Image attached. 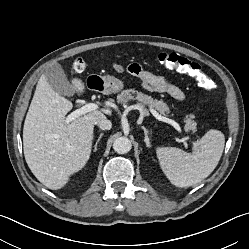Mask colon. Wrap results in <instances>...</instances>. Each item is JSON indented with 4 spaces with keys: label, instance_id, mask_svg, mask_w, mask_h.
Instances as JSON below:
<instances>
[{
    "label": "colon",
    "instance_id": "colon-1",
    "mask_svg": "<svg viewBox=\"0 0 249 249\" xmlns=\"http://www.w3.org/2000/svg\"><path fill=\"white\" fill-rule=\"evenodd\" d=\"M158 62L170 69H175L180 73L186 74L194 78L200 87L205 90L213 88L214 83L210 76L203 72L200 65L184 58L176 53L162 52L157 56ZM85 62L80 57L71 60V69L74 73H81L85 69ZM116 68L124 70V67L117 65Z\"/></svg>",
    "mask_w": 249,
    "mask_h": 249
}]
</instances>
